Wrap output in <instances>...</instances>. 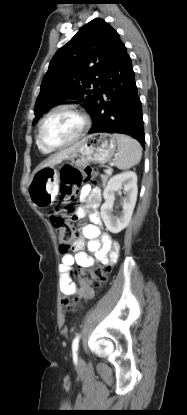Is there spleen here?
Wrapping results in <instances>:
<instances>
[{
  "mask_svg": "<svg viewBox=\"0 0 187 415\" xmlns=\"http://www.w3.org/2000/svg\"><path fill=\"white\" fill-rule=\"evenodd\" d=\"M117 141L118 153L115 165L118 169H128L138 164L142 157V148L139 142L130 136L113 134Z\"/></svg>",
  "mask_w": 187,
  "mask_h": 415,
  "instance_id": "3e777b00",
  "label": "spleen"
}]
</instances>
